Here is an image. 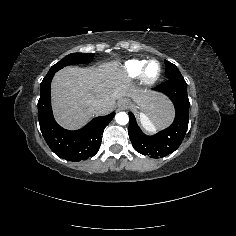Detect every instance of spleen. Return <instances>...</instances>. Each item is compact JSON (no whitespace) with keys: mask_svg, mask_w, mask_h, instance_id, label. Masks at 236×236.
<instances>
[{"mask_svg":"<svg viewBox=\"0 0 236 236\" xmlns=\"http://www.w3.org/2000/svg\"><path fill=\"white\" fill-rule=\"evenodd\" d=\"M139 122L142 128V131L150 136H153L157 133L156 126L153 120H150L146 115L143 113L139 114Z\"/></svg>","mask_w":236,"mask_h":236,"instance_id":"obj_1","label":"spleen"}]
</instances>
